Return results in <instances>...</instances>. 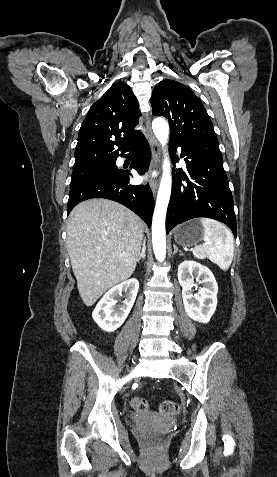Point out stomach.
I'll return each instance as SVG.
<instances>
[{
    "mask_svg": "<svg viewBox=\"0 0 277 477\" xmlns=\"http://www.w3.org/2000/svg\"><path fill=\"white\" fill-rule=\"evenodd\" d=\"M204 235V228L200 220H190L174 231V239L178 245L190 247L199 243Z\"/></svg>",
    "mask_w": 277,
    "mask_h": 477,
    "instance_id": "stomach-1",
    "label": "stomach"
}]
</instances>
